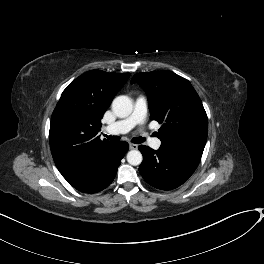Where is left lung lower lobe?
<instances>
[{
    "label": "left lung lower lobe",
    "mask_w": 264,
    "mask_h": 264,
    "mask_svg": "<svg viewBox=\"0 0 264 264\" xmlns=\"http://www.w3.org/2000/svg\"><path fill=\"white\" fill-rule=\"evenodd\" d=\"M143 155L139 172L151 186L161 190H172L182 185L196 170L201 157L192 153L148 146L138 147Z\"/></svg>",
    "instance_id": "1"
}]
</instances>
